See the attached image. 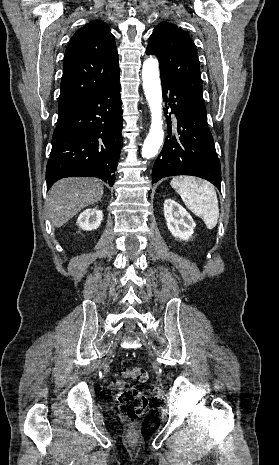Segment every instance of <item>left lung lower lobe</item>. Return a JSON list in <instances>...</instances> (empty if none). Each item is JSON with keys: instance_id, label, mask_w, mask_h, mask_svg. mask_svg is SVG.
Returning a JSON list of instances; mask_svg holds the SVG:
<instances>
[{"instance_id": "left-lung-lower-lobe-1", "label": "left lung lower lobe", "mask_w": 279, "mask_h": 465, "mask_svg": "<svg viewBox=\"0 0 279 465\" xmlns=\"http://www.w3.org/2000/svg\"><path fill=\"white\" fill-rule=\"evenodd\" d=\"M164 100L177 119L172 129L167 117L168 136L153 170L152 183L175 175H193L204 178L221 190V170L214 141L207 125L206 110L181 93L166 79L161 78ZM170 91V97L166 94ZM168 113V108H166Z\"/></svg>"}]
</instances>
